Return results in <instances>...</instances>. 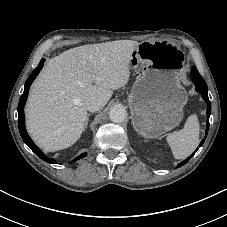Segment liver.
Wrapping results in <instances>:
<instances>
[{"label":"liver","instance_id":"1","mask_svg":"<svg viewBox=\"0 0 227 227\" xmlns=\"http://www.w3.org/2000/svg\"><path fill=\"white\" fill-rule=\"evenodd\" d=\"M140 43L116 40L83 45L50 59L33 83L25 108L27 131L46 151L73 145L85 129L88 99L107 104L128 83Z\"/></svg>","mask_w":227,"mask_h":227}]
</instances>
